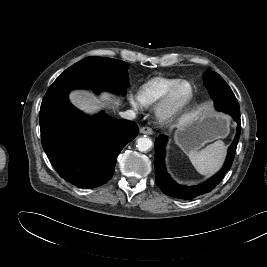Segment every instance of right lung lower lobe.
<instances>
[{
	"label": "right lung lower lobe",
	"mask_w": 267,
	"mask_h": 267,
	"mask_svg": "<svg viewBox=\"0 0 267 267\" xmlns=\"http://www.w3.org/2000/svg\"><path fill=\"white\" fill-rule=\"evenodd\" d=\"M69 91L42 101V146L67 182L81 188L97 187L112 177L118 154L139 129L132 121L106 114L84 115L69 102Z\"/></svg>",
	"instance_id": "right-lung-lower-lobe-1"
}]
</instances>
